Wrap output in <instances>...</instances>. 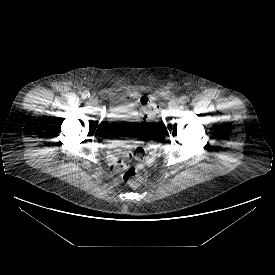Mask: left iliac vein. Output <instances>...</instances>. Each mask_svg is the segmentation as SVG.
I'll return each mask as SVG.
<instances>
[{"mask_svg":"<svg viewBox=\"0 0 275 275\" xmlns=\"http://www.w3.org/2000/svg\"><path fill=\"white\" fill-rule=\"evenodd\" d=\"M180 102L177 98H172L170 101H169V109L170 110H173V109H176L178 106H179Z\"/></svg>","mask_w":275,"mask_h":275,"instance_id":"4c4485c4","label":"left iliac vein"}]
</instances>
